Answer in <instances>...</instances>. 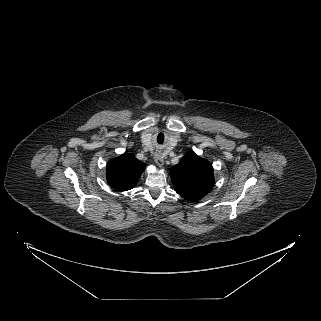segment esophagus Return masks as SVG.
Masks as SVG:
<instances>
[{
  "instance_id": "1",
  "label": "esophagus",
  "mask_w": 321,
  "mask_h": 321,
  "mask_svg": "<svg viewBox=\"0 0 321 321\" xmlns=\"http://www.w3.org/2000/svg\"><path fill=\"white\" fill-rule=\"evenodd\" d=\"M154 161L159 167H162L164 165V160L161 151L156 152L154 156Z\"/></svg>"
}]
</instances>
